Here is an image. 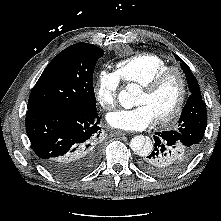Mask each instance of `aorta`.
Masks as SVG:
<instances>
[{
    "mask_svg": "<svg viewBox=\"0 0 221 221\" xmlns=\"http://www.w3.org/2000/svg\"><path fill=\"white\" fill-rule=\"evenodd\" d=\"M140 91V86L130 83L125 90L119 93V101L124 108H132L134 106V96ZM131 149L138 155L143 156L150 152L153 148L152 141L143 135H137L130 142Z\"/></svg>",
    "mask_w": 221,
    "mask_h": 221,
    "instance_id": "obj_1",
    "label": "aorta"
}]
</instances>
